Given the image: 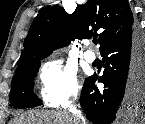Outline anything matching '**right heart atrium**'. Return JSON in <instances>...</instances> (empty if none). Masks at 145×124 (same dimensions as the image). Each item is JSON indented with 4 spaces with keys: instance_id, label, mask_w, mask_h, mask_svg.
Wrapping results in <instances>:
<instances>
[{
    "instance_id": "obj_1",
    "label": "right heart atrium",
    "mask_w": 145,
    "mask_h": 124,
    "mask_svg": "<svg viewBox=\"0 0 145 124\" xmlns=\"http://www.w3.org/2000/svg\"><path fill=\"white\" fill-rule=\"evenodd\" d=\"M41 96L49 105H60L73 99L79 92L75 71L57 60L45 62L39 73Z\"/></svg>"
}]
</instances>
